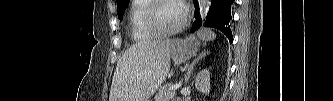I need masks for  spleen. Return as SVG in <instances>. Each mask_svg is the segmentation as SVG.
<instances>
[{
	"mask_svg": "<svg viewBox=\"0 0 333 101\" xmlns=\"http://www.w3.org/2000/svg\"><path fill=\"white\" fill-rule=\"evenodd\" d=\"M198 36L202 39V40H214L216 38V34L211 31V30H204V31H200L198 33Z\"/></svg>",
	"mask_w": 333,
	"mask_h": 101,
	"instance_id": "spleen-1",
	"label": "spleen"
}]
</instances>
